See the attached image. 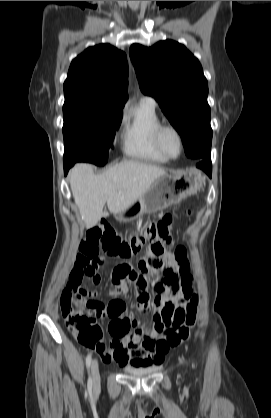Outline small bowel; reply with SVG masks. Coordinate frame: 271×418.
Masks as SVG:
<instances>
[{
  "instance_id": "1",
  "label": "small bowel",
  "mask_w": 271,
  "mask_h": 418,
  "mask_svg": "<svg viewBox=\"0 0 271 418\" xmlns=\"http://www.w3.org/2000/svg\"><path fill=\"white\" fill-rule=\"evenodd\" d=\"M155 260V261H154ZM101 267H97V270ZM179 271L176 259L167 253L166 245L153 241L147 247L146 258L132 271L129 263L120 261L112 271L111 295L102 299L83 298L80 305L91 314H99L98 322L104 323L107 336L112 339L109 347L96 350L105 363L116 362L119 365L130 364L134 367L160 365L169 348L159 349L158 343L163 336L157 331L163 326L162 312L166 308L173 310L184 307L192 293L190 276L177 282L175 274ZM161 276L156 284V296L151 301L147 290L148 277ZM100 280L97 274L98 283ZM136 288L138 310L142 313L153 308L154 325L152 328L141 325L139 319H131V307L126 299L128 286ZM96 297V292L90 293ZM133 328H135L133 330Z\"/></svg>"
}]
</instances>
